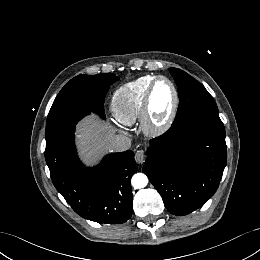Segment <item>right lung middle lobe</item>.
Here are the masks:
<instances>
[{
    "mask_svg": "<svg viewBox=\"0 0 260 260\" xmlns=\"http://www.w3.org/2000/svg\"><path fill=\"white\" fill-rule=\"evenodd\" d=\"M118 77L111 73L79 75L71 79L57 95L47 118L46 147L52 146L70 127L90 112L102 118L104 99Z\"/></svg>",
    "mask_w": 260,
    "mask_h": 260,
    "instance_id": "obj_1",
    "label": "right lung middle lobe"
}]
</instances>
